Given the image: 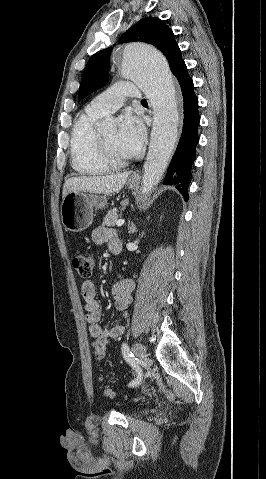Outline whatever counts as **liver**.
<instances>
[{
	"instance_id": "1",
	"label": "liver",
	"mask_w": 266,
	"mask_h": 479,
	"mask_svg": "<svg viewBox=\"0 0 266 479\" xmlns=\"http://www.w3.org/2000/svg\"><path fill=\"white\" fill-rule=\"evenodd\" d=\"M130 172L106 176H80L67 179L63 186V198L70 192L110 194L120 191Z\"/></svg>"
}]
</instances>
